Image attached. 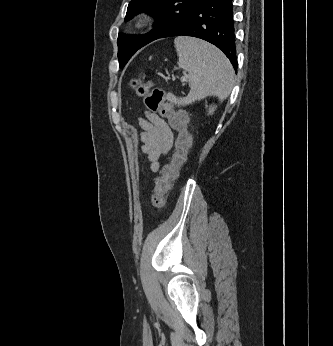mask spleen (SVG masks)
Returning <instances> with one entry per match:
<instances>
[{"mask_svg": "<svg viewBox=\"0 0 333 346\" xmlns=\"http://www.w3.org/2000/svg\"><path fill=\"white\" fill-rule=\"evenodd\" d=\"M174 45L179 67L188 72L191 90L184 98L168 94V100L180 106L207 96L225 99L234 86V71L227 57L210 43L195 38L177 37Z\"/></svg>", "mask_w": 333, "mask_h": 346, "instance_id": "3e777b00", "label": "spleen"}]
</instances>
